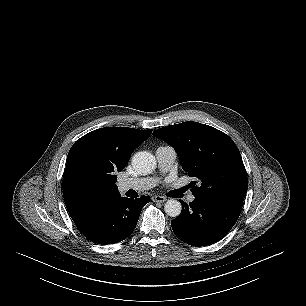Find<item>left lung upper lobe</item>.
Here are the masks:
<instances>
[{
  "label": "left lung upper lobe",
  "mask_w": 306,
  "mask_h": 306,
  "mask_svg": "<svg viewBox=\"0 0 306 306\" xmlns=\"http://www.w3.org/2000/svg\"><path fill=\"white\" fill-rule=\"evenodd\" d=\"M153 135L171 145L189 176L195 198L229 199L243 203L248 178L240 152L225 133L205 124L187 121L162 127Z\"/></svg>",
  "instance_id": "1"
}]
</instances>
